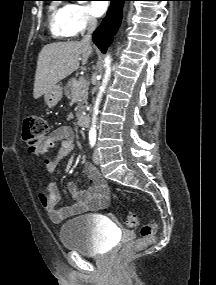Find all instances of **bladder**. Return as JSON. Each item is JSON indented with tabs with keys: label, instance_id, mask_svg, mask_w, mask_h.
Returning <instances> with one entry per match:
<instances>
[{
	"label": "bladder",
	"instance_id": "31cf9c89",
	"mask_svg": "<svg viewBox=\"0 0 216 285\" xmlns=\"http://www.w3.org/2000/svg\"><path fill=\"white\" fill-rule=\"evenodd\" d=\"M115 237V230L94 215L73 218L60 228V240L65 249L89 256L105 254Z\"/></svg>",
	"mask_w": 216,
	"mask_h": 285
}]
</instances>
